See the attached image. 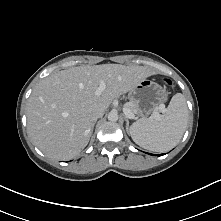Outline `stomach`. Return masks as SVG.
Masks as SVG:
<instances>
[{
    "label": "stomach",
    "instance_id": "0dacf381",
    "mask_svg": "<svg viewBox=\"0 0 221 221\" xmlns=\"http://www.w3.org/2000/svg\"><path fill=\"white\" fill-rule=\"evenodd\" d=\"M167 98L168 91L149 79L142 80L130 91L131 103L141 116H148Z\"/></svg>",
    "mask_w": 221,
    "mask_h": 221
}]
</instances>
